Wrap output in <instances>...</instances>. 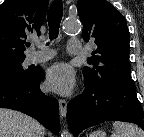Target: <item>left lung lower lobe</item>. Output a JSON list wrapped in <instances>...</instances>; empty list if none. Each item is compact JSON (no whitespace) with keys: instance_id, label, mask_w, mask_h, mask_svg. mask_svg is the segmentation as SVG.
Here are the masks:
<instances>
[{"instance_id":"0a47b994","label":"left lung lower lobe","mask_w":144,"mask_h":137,"mask_svg":"<svg viewBox=\"0 0 144 137\" xmlns=\"http://www.w3.org/2000/svg\"><path fill=\"white\" fill-rule=\"evenodd\" d=\"M144 113L136 95V88L106 85L86 86L84 92L71 100L67 121L76 137L82 130L104 121H124L139 125L144 130Z\"/></svg>"}]
</instances>
